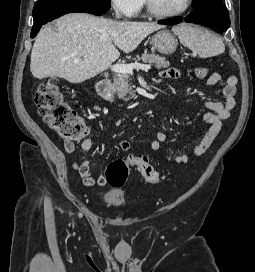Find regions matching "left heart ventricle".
I'll use <instances>...</instances> for the list:
<instances>
[{"label": "left heart ventricle", "instance_id": "left-heart-ventricle-1", "mask_svg": "<svg viewBox=\"0 0 255 272\" xmlns=\"http://www.w3.org/2000/svg\"><path fill=\"white\" fill-rule=\"evenodd\" d=\"M154 7L161 12H175L186 5L187 0H152Z\"/></svg>", "mask_w": 255, "mask_h": 272}]
</instances>
